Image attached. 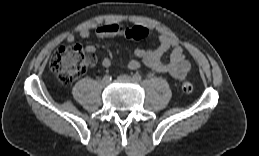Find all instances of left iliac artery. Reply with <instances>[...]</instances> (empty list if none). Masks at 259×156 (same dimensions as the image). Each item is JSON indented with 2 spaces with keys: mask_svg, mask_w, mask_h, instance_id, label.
<instances>
[{
  "mask_svg": "<svg viewBox=\"0 0 259 156\" xmlns=\"http://www.w3.org/2000/svg\"><path fill=\"white\" fill-rule=\"evenodd\" d=\"M133 79L136 81V82H140L141 79H142V76L138 73L134 74L133 75Z\"/></svg>",
  "mask_w": 259,
  "mask_h": 156,
  "instance_id": "1",
  "label": "left iliac artery"
}]
</instances>
